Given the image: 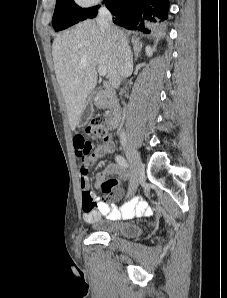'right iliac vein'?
Returning a JSON list of instances; mask_svg holds the SVG:
<instances>
[{"instance_id":"1","label":"right iliac vein","mask_w":227,"mask_h":298,"mask_svg":"<svg viewBox=\"0 0 227 298\" xmlns=\"http://www.w3.org/2000/svg\"><path fill=\"white\" fill-rule=\"evenodd\" d=\"M126 156L131 164V192L134 193L138 186V182L143 171V164L141 162L138 152L128 144H124Z\"/></svg>"}]
</instances>
